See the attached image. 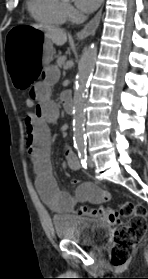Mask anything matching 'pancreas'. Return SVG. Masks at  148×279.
<instances>
[{
	"label": "pancreas",
	"instance_id": "obj_1",
	"mask_svg": "<svg viewBox=\"0 0 148 279\" xmlns=\"http://www.w3.org/2000/svg\"><path fill=\"white\" fill-rule=\"evenodd\" d=\"M65 59H66V56H60V57H58V59H57V65H58L59 67H63Z\"/></svg>",
	"mask_w": 148,
	"mask_h": 279
}]
</instances>
